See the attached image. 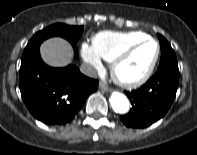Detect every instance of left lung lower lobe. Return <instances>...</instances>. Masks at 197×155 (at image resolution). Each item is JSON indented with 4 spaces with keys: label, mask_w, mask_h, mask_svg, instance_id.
<instances>
[{
    "label": "left lung lower lobe",
    "mask_w": 197,
    "mask_h": 155,
    "mask_svg": "<svg viewBox=\"0 0 197 155\" xmlns=\"http://www.w3.org/2000/svg\"><path fill=\"white\" fill-rule=\"evenodd\" d=\"M179 83V70H158L143 86L126 92L132 108L120 117L127 127L143 128L161 119L172 105Z\"/></svg>",
    "instance_id": "left-lung-lower-lobe-1"
}]
</instances>
